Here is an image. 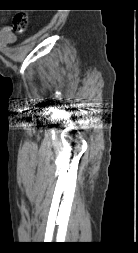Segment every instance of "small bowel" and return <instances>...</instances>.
<instances>
[{"instance_id": "1", "label": "small bowel", "mask_w": 138, "mask_h": 253, "mask_svg": "<svg viewBox=\"0 0 138 253\" xmlns=\"http://www.w3.org/2000/svg\"><path fill=\"white\" fill-rule=\"evenodd\" d=\"M16 37L10 27L0 28V45L6 46L15 41Z\"/></svg>"}]
</instances>
